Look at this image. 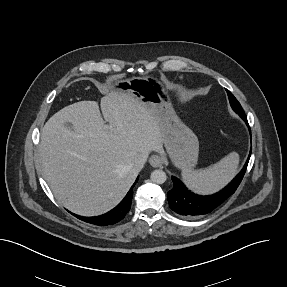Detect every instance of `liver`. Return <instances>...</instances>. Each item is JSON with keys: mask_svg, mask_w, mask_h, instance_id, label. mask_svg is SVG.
Listing matches in <instances>:
<instances>
[{"mask_svg": "<svg viewBox=\"0 0 287 287\" xmlns=\"http://www.w3.org/2000/svg\"><path fill=\"white\" fill-rule=\"evenodd\" d=\"M100 105L103 117L96 101L55 113L42 128L39 146L54 196L83 216L103 214L123 199L139 173L132 168L138 155L163 152L159 121L133 94L111 92Z\"/></svg>", "mask_w": 287, "mask_h": 287, "instance_id": "6515ba94", "label": "liver"}]
</instances>
